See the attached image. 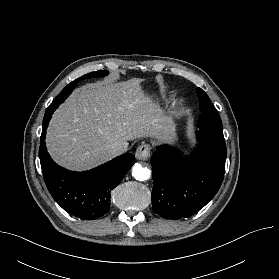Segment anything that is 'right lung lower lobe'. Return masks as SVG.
I'll use <instances>...</instances> for the list:
<instances>
[{"instance_id": "obj_1", "label": "right lung lower lobe", "mask_w": 279, "mask_h": 279, "mask_svg": "<svg viewBox=\"0 0 279 279\" xmlns=\"http://www.w3.org/2000/svg\"><path fill=\"white\" fill-rule=\"evenodd\" d=\"M64 100L60 99V102ZM59 104H50L42 124L39 158L44 181L54 200L65 211L80 219H97L109 211L111 191L135 163V157L125 153L86 172H72L58 166L48 154L44 140L51 115Z\"/></svg>"}]
</instances>
